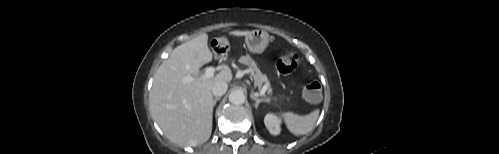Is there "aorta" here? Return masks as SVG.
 I'll use <instances>...</instances> for the list:
<instances>
[{"instance_id":"obj_1","label":"aorta","mask_w":499,"mask_h":154,"mask_svg":"<svg viewBox=\"0 0 499 154\" xmlns=\"http://www.w3.org/2000/svg\"><path fill=\"white\" fill-rule=\"evenodd\" d=\"M245 99V94L241 90H235L229 94V101L235 105L243 104L245 102Z\"/></svg>"}]
</instances>
